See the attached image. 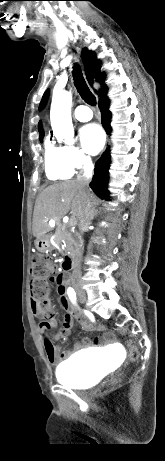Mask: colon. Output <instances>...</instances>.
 Here are the masks:
<instances>
[{
    "mask_svg": "<svg viewBox=\"0 0 165 461\" xmlns=\"http://www.w3.org/2000/svg\"><path fill=\"white\" fill-rule=\"evenodd\" d=\"M30 271L32 300L45 315L50 316L52 314V307L48 299V280L55 282V276L57 275L56 268L44 256H37L32 261ZM129 346L130 358L136 360L138 358V350L132 342H130Z\"/></svg>",
    "mask_w": 165,
    "mask_h": 461,
    "instance_id": "colon-1",
    "label": "colon"
}]
</instances>
